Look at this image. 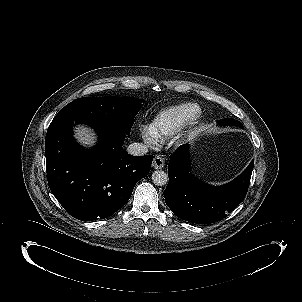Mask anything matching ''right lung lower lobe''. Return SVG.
Listing matches in <instances>:
<instances>
[{"instance_id": "1", "label": "right lung lower lobe", "mask_w": 302, "mask_h": 302, "mask_svg": "<svg viewBox=\"0 0 302 302\" xmlns=\"http://www.w3.org/2000/svg\"><path fill=\"white\" fill-rule=\"evenodd\" d=\"M83 123L91 125L99 135L94 149L85 150L76 143L74 122L48 128V184L71 216L82 221L104 219L129 200L135 184L148 175L153 156L128 154L122 149L126 134L113 125Z\"/></svg>"}]
</instances>
